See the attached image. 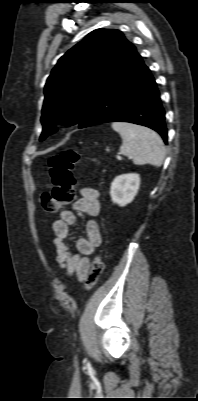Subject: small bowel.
Listing matches in <instances>:
<instances>
[{
	"instance_id": "obj_1",
	"label": "small bowel",
	"mask_w": 198,
	"mask_h": 401,
	"mask_svg": "<svg viewBox=\"0 0 198 401\" xmlns=\"http://www.w3.org/2000/svg\"><path fill=\"white\" fill-rule=\"evenodd\" d=\"M81 197L74 203L73 210H63L60 217L53 222L54 245L57 251V262L68 274H76L84 281L89 271V259L102 243L100 227L94 220L86 224V237L79 238L75 250L69 249L73 241L70 228L77 222V215L96 217L100 211L99 192L92 188H82Z\"/></svg>"
}]
</instances>
